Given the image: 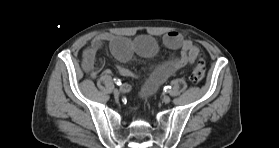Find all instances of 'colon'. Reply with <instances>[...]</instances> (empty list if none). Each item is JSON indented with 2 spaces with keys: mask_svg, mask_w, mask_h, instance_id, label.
<instances>
[{
  "mask_svg": "<svg viewBox=\"0 0 279 148\" xmlns=\"http://www.w3.org/2000/svg\"><path fill=\"white\" fill-rule=\"evenodd\" d=\"M205 72H206L205 61L202 57H199L196 60V63L192 69L191 76H190L191 81L195 84L200 83L205 76Z\"/></svg>",
  "mask_w": 279,
  "mask_h": 148,
  "instance_id": "obj_1",
  "label": "colon"
}]
</instances>
